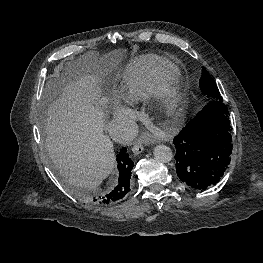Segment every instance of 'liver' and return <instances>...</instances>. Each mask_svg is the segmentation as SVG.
<instances>
[{"label":"liver","mask_w":263,"mask_h":263,"mask_svg":"<svg viewBox=\"0 0 263 263\" xmlns=\"http://www.w3.org/2000/svg\"><path fill=\"white\" fill-rule=\"evenodd\" d=\"M124 50H115L100 60L101 64L122 60ZM84 73L73 80L57 81L54 99L48 105L45 121L46 148L49 157L67 182L78 188L93 190L115 167L113 143L104 134L105 114L100 104L96 69L100 66L83 58ZM51 82L46 90L51 89Z\"/></svg>","instance_id":"obj_1"}]
</instances>
